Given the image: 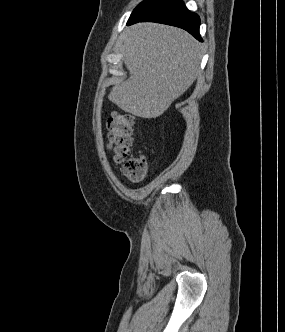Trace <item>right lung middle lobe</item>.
<instances>
[{
    "label": "right lung middle lobe",
    "mask_w": 285,
    "mask_h": 332,
    "mask_svg": "<svg viewBox=\"0 0 285 332\" xmlns=\"http://www.w3.org/2000/svg\"><path fill=\"white\" fill-rule=\"evenodd\" d=\"M150 0H144L143 2H141L135 9H134V11H133V13L134 12H136L138 9H140L141 7H143L145 4H147L148 2H149ZM132 13V14H133Z\"/></svg>",
    "instance_id": "dd1d6c3e"
}]
</instances>
